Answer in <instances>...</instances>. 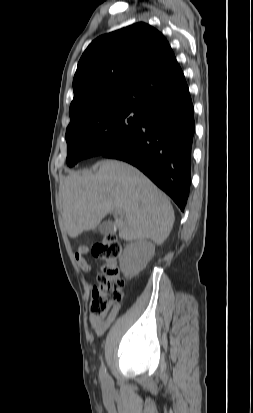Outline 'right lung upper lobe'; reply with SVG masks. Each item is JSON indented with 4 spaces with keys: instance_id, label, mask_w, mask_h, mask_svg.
Segmentation results:
<instances>
[{
    "instance_id": "obj_1",
    "label": "right lung upper lobe",
    "mask_w": 253,
    "mask_h": 413,
    "mask_svg": "<svg viewBox=\"0 0 253 413\" xmlns=\"http://www.w3.org/2000/svg\"><path fill=\"white\" fill-rule=\"evenodd\" d=\"M73 90L71 121L108 107L145 109L189 91L168 41L143 22L95 39L78 63Z\"/></svg>"
}]
</instances>
